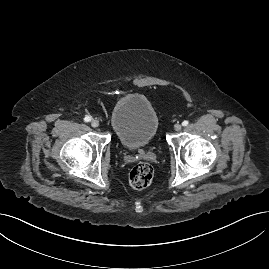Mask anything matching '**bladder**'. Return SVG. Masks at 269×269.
<instances>
[{"label":"bladder","mask_w":269,"mask_h":269,"mask_svg":"<svg viewBox=\"0 0 269 269\" xmlns=\"http://www.w3.org/2000/svg\"><path fill=\"white\" fill-rule=\"evenodd\" d=\"M110 125L118 142L127 149L144 148L159 128L155 108L142 94H127L114 105Z\"/></svg>","instance_id":"obj_1"}]
</instances>
